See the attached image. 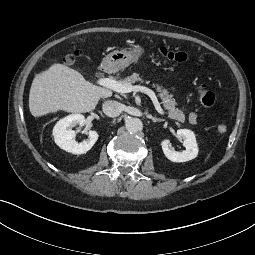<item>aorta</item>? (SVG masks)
<instances>
[{"label": "aorta", "mask_w": 255, "mask_h": 255, "mask_svg": "<svg viewBox=\"0 0 255 255\" xmlns=\"http://www.w3.org/2000/svg\"><path fill=\"white\" fill-rule=\"evenodd\" d=\"M125 126L131 134H135L143 129V123L139 118H129L126 120Z\"/></svg>", "instance_id": "762f6f07"}]
</instances>
